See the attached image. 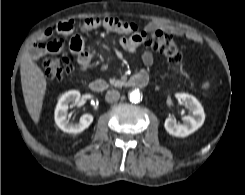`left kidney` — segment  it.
<instances>
[{
	"mask_svg": "<svg viewBox=\"0 0 245 195\" xmlns=\"http://www.w3.org/2000/svg\"><path fill=\"white\" fill-rule=\"evenodd\" d=\"M176 97L183 101L184 105L192 112L193 116H184L182 118V124H177L174 119L167 118L164 127L170 135L183 138L192 134L203 125L205 113L202 105L194 96L181 93L176 94Z\"/></svg>",
	"mask_w": 245,
	"mask_h": 195,
	"instance_id": "1",
	"label": "left kidney"
}]
</instances>
